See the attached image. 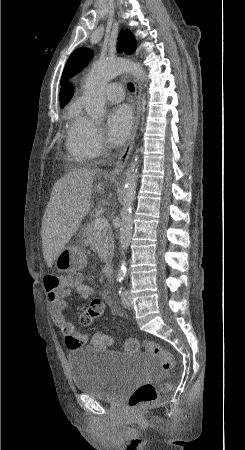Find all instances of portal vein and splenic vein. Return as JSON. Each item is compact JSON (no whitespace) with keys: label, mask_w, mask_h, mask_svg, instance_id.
<instances>
[{"label":"portal vein and splenic vein","mask_w":245,"mask_h":450,"mask_svg":"<svg viewBox=\"0 0 245 450\" xmlns=\"http://www.w3.org/2000/svg\"><path fill=\"white\" fill-rule=\"evenodd\" d=\"M107 226H108V222H107L106 218H104V217L96 218L94 221V227L98 230H102V229L106 228Z\"/></svg>","instance_id":"portal-vein-and-splenic-vein-1"}]
</instances>
